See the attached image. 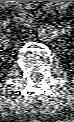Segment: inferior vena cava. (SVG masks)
Returning a JSON list of instances; mask_svg holds the SVG:
<instances>
[{
  "label": "inferior vena cava",
  "instance_id": "602c4592",
  "mask_svg": "<svg viewBox=\"0 0 74 122\" xmlns=\"http://www.w3.org/2000/svg\"><path fill=\"white\" fill-rule=\"evenodd\" d=\"M33 20H34L33 14L28 11H21L18 13L16 17V21L20 25L27 26V27L31 25Z\"/></svg>",
  "mask_w": 74,
  "mask_h": 122
}]
</instances>
